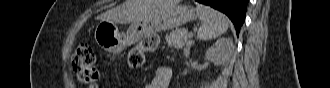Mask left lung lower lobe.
Wrapping results in <instances>:
<instances>
[{"label": "left lung lower lobe", "instance_id": "1", "mask_svg": "<svg viewBox=\"0 0 330 88\" xmlns=\"http://www.w3.org/2000/svg\"><path fill=\"white\" fill-rule=\"evenodd\" d=\"M225 13L233 22L237 35L245 20L248 0H196Z\"/></svg>", "mask_w": 330, "mask_h": 88}]
</instances>
